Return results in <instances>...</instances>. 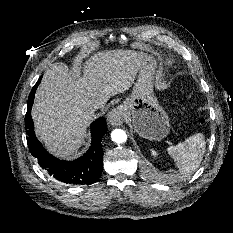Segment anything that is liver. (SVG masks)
I'll list each match as a JSON object with an SVG mask.
<instances>
[{"instance_id":"obj_1","label":"liver","mask_w":233,"mask_h":233,"mask_svg":"<svg viewBox=\"0 0 233 233\" xmlns=\"http://www.w3.org/2000/svg\"><path fill=\"white\" fill-rule=\"evenodd\" d=\"M145 55L133 50L93 54L76 79L66 66L48 68L36 91L32 118L38 138L59 158H69L82 146L94 106L104 107L110 96L134 83Z\"/></svg>"}]
</instances>
